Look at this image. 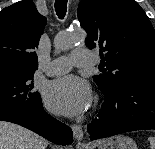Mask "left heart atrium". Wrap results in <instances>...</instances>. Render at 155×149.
I'll use <instances>...</instances> for the list:
<instances>
[{
	"mask_svg": "<svg viewBox=\"0 0 155 149\" xmlns=\"http://www.w3.org/2000/svg\"><path fill=\"white\" fill-rule=\"evenodd\" d=\"M89 85L74 75H67L48 83L44 91L46 107L56 114L76 116L91 103Z\"/></svg>",
	"mask_w": 155,
	"mask_h": 149,
	"instance_id": "left-heart-atrium-1",
	"label": "left heart atrium"
}]
</instances>
